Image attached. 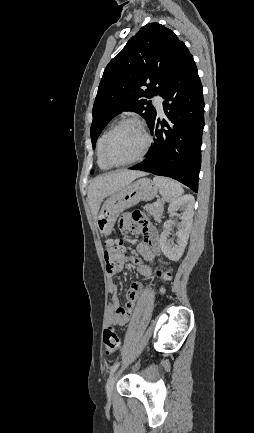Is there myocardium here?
<instances>
[{
    "label": "myocardium",
    "instance_id": "1",
    "mask_svg": "<svg viewBox=\"0 0 254 433\" xmlns=\"http://www.w3.org/2000/svg\"><path fill=\"white\" fill-rule=\"evenodd\" d=\"M127 124H133L136 125L140 131L142 132V134L144 135L145 138V144L144 147L142 149V151L133 159L126 161V162H122V163H115L111 160H109L106 156V147L109 143V140L111 139V137L113 136V134L119 130L122 126L127 125ZM152 144V137L148 131V129L146 128V126L144 125L143 122H141L140 120L136 119V118H126L121 120L120 122H118L106 135L102 147H101V158L102 160L110 167H124V166H128L134 163L139 162L140 160H142L145 155L147 154V152L149 151L150 147Z\"/></svg>",
    "mask_w": 254,
    "mask_h": 433
}]
</instances>
